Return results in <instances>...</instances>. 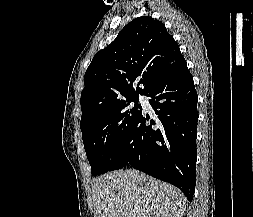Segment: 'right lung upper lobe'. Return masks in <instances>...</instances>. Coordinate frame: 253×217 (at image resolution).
Masks as SVG:
<instances>
[{
  "mask_svg": "<svg viewBox=\"0 0 253 217\" xmlns=\"http://www.w3.org/2000/svg\"><path fill=\"white\" fill-rule=\"evenodd\" d=\"M183 60L178 44L162 22L149 16L134 19L94 56L87 68L80 125L111 106L145 95ZM136 79L139 82L135 91Z\"/></svg>",
  "mask_w": 253,
  "mask_h": 217,
  "instance_id": "right-lung-upper-lobe-1",
  "label": "right lung upper lobe"
}]
</instances>
